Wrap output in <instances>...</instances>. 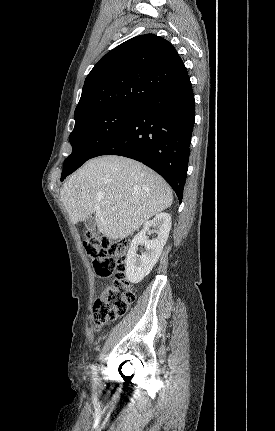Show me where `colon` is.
I'll return each mask as SVG.
<instances>
[{
    "label": "colon",
    "instance_id": "colon-1",
    "mask_svg": "<svg viewBox=\"0 0 275 431\" xmlns=\"http://www.w3.org/2000/svg\"><path fill=\"white\" fill-rule=\"evenodd\" d=\"M96 274L100 278L115 276L95 300L92 319L95 328L123 316L136 295L125 275L128 251L127 240H111L101 234H89L84 242Z\"/></svg>",
    "mask_w": 275,
    "mask_h": 431
}]
</instances>
